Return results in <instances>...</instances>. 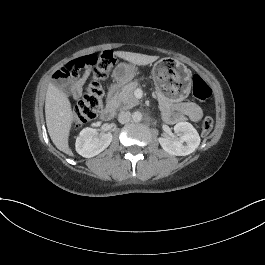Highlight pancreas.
I'll list each match as a JSON object with an SVG mask.
<instances>
[{"label": "pancreas", "mask_w": 265, "mask_h": 265, "mask_svg": "<svg viewBox=\"0 0 265 265\" xmlns=\"http://www.w3.org/2000/svg\"><path fill=\"white\" fill-rule=\"evenodd\" d=\"M137 88H140V82L138 79L125 85L115 99V106L121 110H128L139 105V100L134 96V91ZM155 94L158 101L160 115L165 123L174 124L178 121L188 120L185 116L173 118V102L159 91H156Z\"/></svg>", "instance_id": "cf45deb5"}]
</instances>
